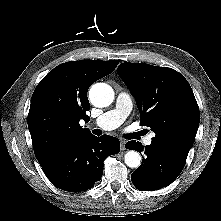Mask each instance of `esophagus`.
Returning <instances> with one entry per match:
<instances>
[{
    "instance_id": "esophagus-1",
    "label": "esophagus",
    "mask_w": 221,
    "mask_h": 221,
    "mask_svg": "<svg viewBox=\"0 0 221 221\" xmlns=\"http://www.w3.org/2000/svg\"><path fill=\"white\" fill-rule=\"evenodd\" d=\"M120 143H121V150L124 151L126 149V147H125L126 141L121 140Z\"/></svg>"
}]
</instances>
